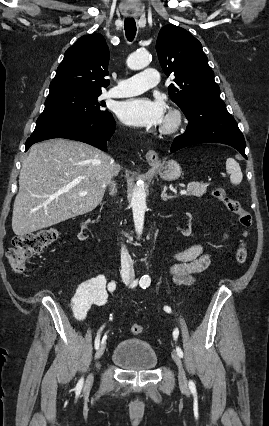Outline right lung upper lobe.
I'll use <instances>...</instances> for the list:
<instances>
[{"instance_id": "right-lung-upper-lobe-1", "label": "right lung upper lobe", "mask_w": 269, "mask_h": 426, "mask_svg": "<svg viewBox=\"0 0 269 426\" xmlns=\"http://www.w3.org/2000/svg\"><path fill=\"white\" fill-rule=\"evenodd\" d=\"M109 49L101 34L80 37L65 52L50 84V92L60 90H83L101 92L109 85Z\"/></svg>"}]
</instances>
